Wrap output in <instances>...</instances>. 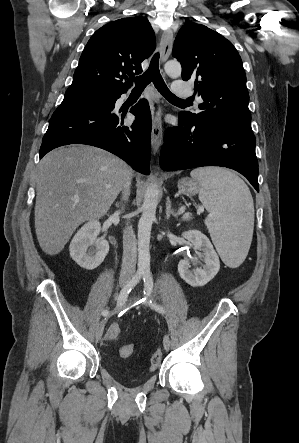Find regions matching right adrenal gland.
<instances>
[{"mask_svg":"<svg viewBox=\"0 0 299 443\" xmlns=\"http://www.w3.org/2000/svg\"><path fill=\"white\" fill-rule=\"evenodd\" d=\"M115 206H116L117 208H119V203H116Z\"/></svg>","mask_w":299,"mask_h":443,"instance_id":"1","label":"right adrenal gland"}]
</instances>
